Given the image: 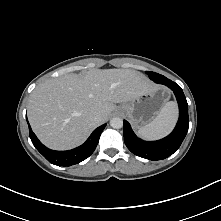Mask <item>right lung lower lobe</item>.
<instances>
[{"label":"right lung lower lobe","mask_w":221,"mask_h":221,"mask_svg":"<svg viewBox=\"0 0 221 221\" xmlns=\"http://www.w3.org/2000/svg\"><path fill=\"white\" fill-rule=\"evenodd\" d=\"M29 125V123H28ZM106 124L95 129L90 137L81 146L68 151H54L45 147L32 132L29 125L30 139L35 148L52 164L57 166H71L88 158L95 150L99 137Z\"/></svg>","instance_id":"right-lung-lower-lobe-1"}]
</instances>
